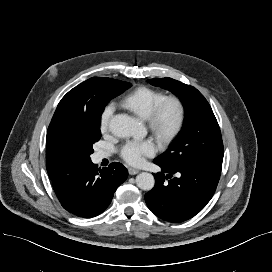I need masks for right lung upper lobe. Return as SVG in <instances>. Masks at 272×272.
I'll use <instances>...</instances> for the list:
<instances>
[{"label":"right lung upper lobe","instance_id":"obj_1","mask_svg":"<svg viewBox=\"0 0 272 272\" xmlns=\"http://www.w3.org/2000/svg\"><path fill=\"white\" fill-rule=\"evenodd\" d=\"M111 81L105 77L90 78L70 90L58 104L46 138V166L52 182L70 173L77 164L65 143L67 131L92 120L98 98Z\"/></svg>","mask_w":272,"mask_h":272}]
</instances>
